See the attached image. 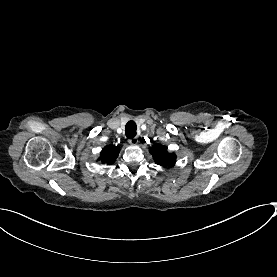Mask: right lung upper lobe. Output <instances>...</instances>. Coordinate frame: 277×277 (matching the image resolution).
I'll return each mask as SVG.
<instances>
[{
	"label": "right lung upper lobe",
	"instance_id": "cb5924a9",
	"mask_svg": "<svg viewBox=\"0 0 277 277\" xmlns=\"http://www.w3.org/2000/svg\"><path fill=\"white\" fill-rule=\"evenodd\" d=\"M119 148L113 145H107L101 151L100 160L102 163L113 164L118 157Z\"/></svg>",
	"mask_w": 277,
	"mask_h": 277
}]
</instances>
